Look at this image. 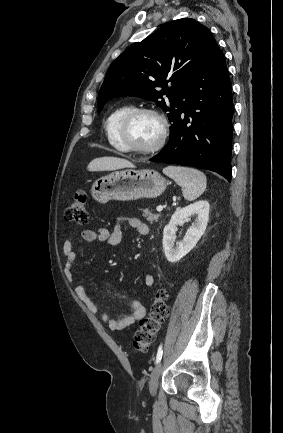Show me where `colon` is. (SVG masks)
<instances>
[{"instance_id":"1","label":"colon","mask_w":283,"mask_h":433,"mask_svg":"<svg viewBox=\"0 0 283 433\" xmlns=\"http://www.w3.org/2000/svg\"><path fill=\"white\" fill-rule=\"evenodd\" d=\"M65 217L78 225H84L88 220L87 194L78 190L72 197L66 210ZM168 294L165 289H158L154 294L150 313L140 321L135 333L133 349L136 352H145L154 343L162 323L168 316Z\"/></svg>"}]
</instances>
